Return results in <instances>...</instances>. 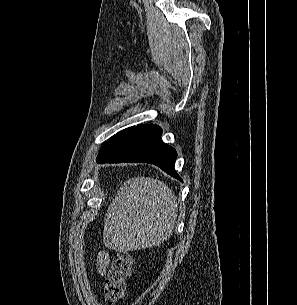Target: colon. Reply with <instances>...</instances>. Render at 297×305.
<instances>
[{
	"instance_id": "1",
	"label": "colon",
	"mask_w": 297,
	"mask_h": 305,
	"mask_svg": "<svg viewBox=\"0 0 297 305\" xmlns=\"http://www.w3.org/2000/svg\"><path fill=\"white\" fill-rule=\"evenodd\" d=\"M133 265L134 259L127 251L119 252L113 259L103 284L104 298L108 303L115 304L125 295Z\"/></svg>"
}]
</instances>
